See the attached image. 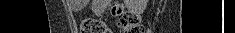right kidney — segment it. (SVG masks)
Segmentation results:
<instances>
[{"mask_svg": "<svg viewBox=\"0 0 235 33\" xmlns=\"http://www.w3.org/2000/svg\"><path fill=\"white\" fill-rule=\"evenodd\" d=\"M127 5L135 13H142L147 5V0H128Z\"/></svg>", "mask_w": 235, "mask_h": 33, "instance_id": "right-kidney-1", "label": "right kidney"}]
</instances>
